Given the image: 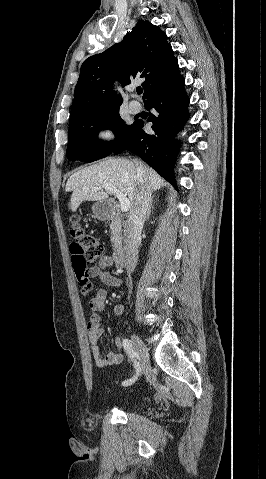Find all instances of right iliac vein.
<instances>
[{
	"instance_id": "right-iliac-vein-1",
	"label": "right iliac vein",
	"mask_w": 266,
	"mask_h": 479,
	"mask_svg": "<svg viewBox=\"0 0 266 479\" xmlns=\"http://www.w3.org/2000/svg\"><path fill=\"white\" fill-rule=\"evenodd\" d=\"M131 340L134 346V349L139 357L140 361V371L139 373H144L147 370L148 367V361H149V355L148 351L142 342V340L139 338L138 335L135 333L132 334Z\"/></svg>"
}]
</instances>
